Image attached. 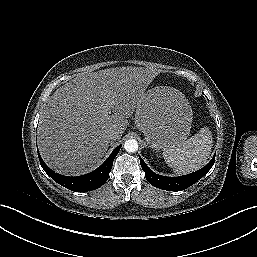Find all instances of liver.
Instances as JSON below:
<instances>
[{"instance_id": "liver-1", "label": "liver", "mask_w": 257, "mask_h": 257, "mask_svg": "<svg viewBox=\"0 0 257 257\" xmlns=\"http://www.w3.org/2000/svg\"><path fill=\"white\" fill-rule=\"evenodd\" d=\"M158 73L153 68H111L82 73L58 88L48 99L38 127L45 163L67 176L94 169L109 147L104 134L114 131L115 140L122 137L127 119Z\"/></svg>"}]
</instances>
